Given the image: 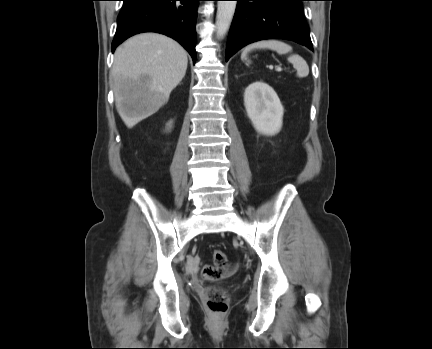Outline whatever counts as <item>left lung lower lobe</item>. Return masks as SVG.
Masks as SVG:
<instances>
[{"mask_svg": "<svg viewBox=\"0 0 432 349\" xmlns=\"http://www.w3.org/2000/svg\"><path fill=\"white\" fill-rule=\"evenodd\" d=\"M225 59L245 45L263 39H286L313 50L301 1L236 0Z\"/></svg>", "mask_w": 432, "mask_h": 349, "instance_id": "1", "label": "left lung lower lobe"}]
</instances>
